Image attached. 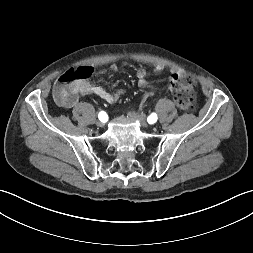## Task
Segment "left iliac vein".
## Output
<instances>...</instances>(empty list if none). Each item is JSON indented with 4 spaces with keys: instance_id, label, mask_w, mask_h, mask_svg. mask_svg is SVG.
<instances>
[{
    "instance_id": "4c4485c4",
    "label": "left iliac vein",
    "mask_w": 253,
    "mask_h": 253,
    "mask_svg": "<svg viewBox=\"0 0 253 253\" xmlns=\"http://www.w3.org/2000/svg\"><path fill=\"white\" fill-rule=\"evenodd\" d=\"M130 115H131V117L137 119L141 123V125L143 127H147L148 126V124L146 122V118H145V116L143 114H138V113L132 112V113H130Z\"/></svg>"
}]
</instances>
